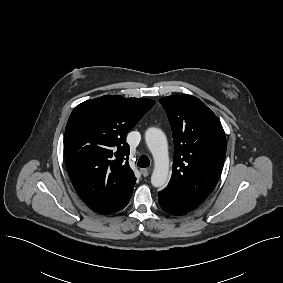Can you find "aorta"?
<instances>
[{"instance_id": "1", "label": "aorta", "mask_w": 283, "mask_h": 283, "mask_svg": "<svg viewBox=\"0 0 283 283\" xmlns=\"http://www.w3.org/2000/svg\"><path fill=\"white\" fill-rule=\"evenodd\" d=\"M145 140L154 159V170L151 184L154 187H163L169 174V156L167 138L158 128H149L145 133Z\"/></svg>"}]
</instances>
